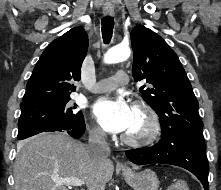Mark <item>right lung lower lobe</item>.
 Listing matches in <instances>:
<instances>
[{"mask_svg":"<svg viewBox=\"0 0 221 190\" xmlns=\"http://www.w3.org/2000/svg\"><path fill=\"white\" fill-rule=\"evenodd\" d=\"M85 129H86V126H85V123H83L79 127L73 128V129H59V130H50V131L51 132H54V131L66 132L71 137H73L75 139H79L83 135V133L85 132ZM50 131H47V132H50Z\"/></svg>","mask_w":221,"mask_h":190,"instance_id":"1","label":"right lung lower lobe"}]
</instances>
